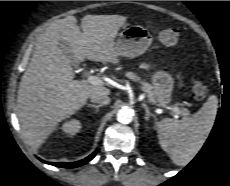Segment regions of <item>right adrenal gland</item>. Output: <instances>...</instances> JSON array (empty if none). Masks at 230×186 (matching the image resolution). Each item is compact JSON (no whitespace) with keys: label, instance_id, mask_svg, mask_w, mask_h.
Here are the masks:
<instances>
[{"label":"right adrenal gland","instance_id":"right-adrenal-gland-1","mask_svg":"<svg viewBox=\"0 0 230 186\" xmlns=\"http://www.w3.org/2000/svg\"><path fill=\"white\" fill-rule=\"evenodd\" d=\"M88 107L95 108V111L98 112L99 108L102 107V105H94V104H87Z\"/></svg>","mask_w":230,"mask_h":186}]
</instances>
